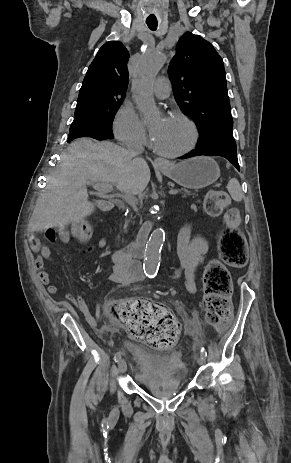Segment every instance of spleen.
Segmentation results:
<instances>
[{
  "mask_svg": "<svg viewBox=\"0 0 291 463\" xmlns=\"http://www.w3.org/2000/svg\"><path fill=\"white\" fill-rule=\"evenodd\" d=\"M227 190L234 201L240 202L243 199V192L240 183L236 178L229 180Z\"/></svg>",
  "mask_w": 291,
  "mask_h": 463,
  "instance_id": "3e777b00",
  "label": "spleen"
}]
</instances>
